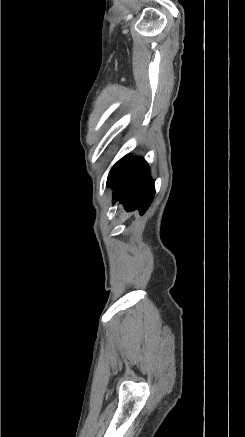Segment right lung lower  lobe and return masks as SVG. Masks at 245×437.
<instances>
[{"mask_svg":"<svg viewBox=\"0 0 245 437\" xmlns=\"http://www.w3.org/2000/svg\"><path fill=\"white\" fill-rule=\"evenodd\" d=\"M107 185L113 188V204L120 201L127 211L138 210L141 215L148 209L155 194L147 162L128 155L113 166Z\"/></svg>","mask_w":245,"mask_h":437,"instance_id":"1","label":"right lung lower lobe"}]
</instances>
